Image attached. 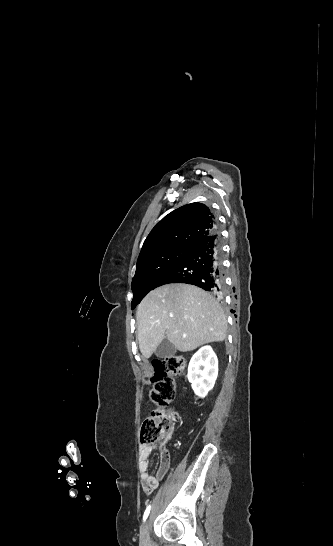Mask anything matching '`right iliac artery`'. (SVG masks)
I'll list each match as a JSON object with an SVG mask.
<instances>
[{
    "label": "right iliac artery",
    "instance_id": "obj_1",
    "mask_svg": "<svg viewBox=\"0 0 333 546\" xmlns=\"http://www.w3.org/2000/svg\"><path fill=\"white\" fill-rule=\"evenodd\" d=\"M150 509H151V506L149 505V506L147 507V509L145 510L144 515H143V520H144V521H145L146 518L148 517L149 512H150Z\"/></svg>",
    "mask_w": 333,
    "mask_h": 546
}]
</instances>
